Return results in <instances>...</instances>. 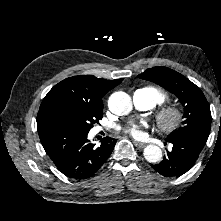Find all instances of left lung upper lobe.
<instances>
[{
  "label": "left lung upper lobe",
  "instance_id": "left-lung-upper-lobe-1",
  "mask_svg": "<svg viewBox=\"0 0 221 221\" xmlns=\"http://www.w3.org/2000/svg\"><path fill=\"white\" fill-rule=\"evenodd\" d=\"M173 93L184 106L182 126L168 135L167 139L180 137L197 131H209L211 112L206 97L199 87L182 74L167 68L153 67L138 75Z\"/></svg>",
  "mask_w": 221,
  "mask_h": 221
}]
</instances>
